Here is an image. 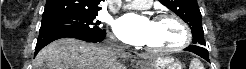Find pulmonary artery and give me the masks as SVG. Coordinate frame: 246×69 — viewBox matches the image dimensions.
<instances>
[{
    "instance_id": "1",
    "label": "pulmonary artery",
    "mask_w": 246,
    "mask_h": 69,
    "mask_svg": "<svg viewBox=\"0 0 246 69\" xmlns=\"http://www.w3.org/2000/svg\"><path fill=\"white\" fill-rule=\"evenodd\" d=\"M152 3L151 0H134L124 5V8L145 9Z\"/></svg>"
}]
</instances>
